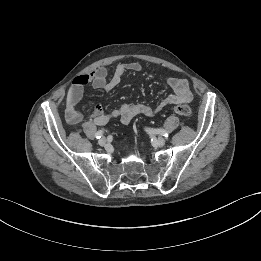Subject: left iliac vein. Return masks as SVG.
I'll list each match as a JSON object with an SVG mask.
<instances>
[{"label": "left iliac vein", "mask_w": 261, "mask_h": 261, "mask_svg": "<svg viewBox=\"0 0 261 261\" xmlns=\"http://www.w3.org/2000/svg\"><path fill=\"white\" fill-rule=\"evenodd\" d=\"M165 139L163 137H158L157 140H156V144L159 146V147H162L165 145Z\"/></svg>", "instance_id": "4c4485c4"}]
</instances>
